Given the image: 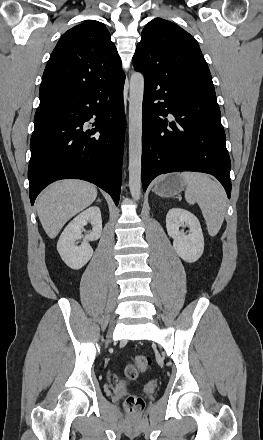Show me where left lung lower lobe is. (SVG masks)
I'll list each match as a JSON object with an SVG mask.
<instances>
[{"label":"left lung lower lobe","mask_w":263,"mask_h":440,"mask_svg":"<svg viewBox=\"0 0 263 440\" xmlns=\"http://www.w3.org/2000/svg\"><path fill=\"white\" fill-rule=\"evenodd\" d=\"M144 76L143 190L160 174L196 171L215 176L230 198L231 163L216 95L189 89L172 78ZM168 113L174 121L159 117Z\"/></svg>","instance_id":"left-lung-lower-lobe-1"}]
</instances>
